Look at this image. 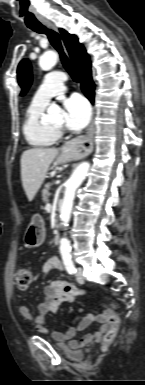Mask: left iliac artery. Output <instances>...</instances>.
Masks as SVG:
<instances>
[{"mask_svg": "<svg viewBox=\"0 0 145 385\" xmlns=\"http://www.w3.org/2000/svg\"><path fill=\"white\" fill-rule=\"evenodd\" d=\"M61 256L63 263L65 265V268L69 274H74L76 272V269L74 267V263L71 259V254L69 251H61Z\"/></svg>", "mask_w": 145, "mask_h": 385, "instance_id": "left-iliac-artery-1", "label": "left iliac artery"}]
</instances>
